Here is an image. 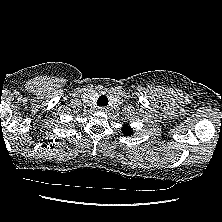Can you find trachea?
<instances>
[{
  "label": "trachea",
  "mask_w": 222,
  "mask_h": 222,
  "mask_svg": "<svg viewBox=\"0 0 222 222\" xmlns=\"http://www.w3.org/2000/svg\"><path fill=\"white\" fill-rule=\"evenodd\" d=\"M97 105L98 106H107L108 105V98L105 95L99 96L97 100Z\"/></svg>",
  "instance_id": "trachea-1"
}]
</instances>
